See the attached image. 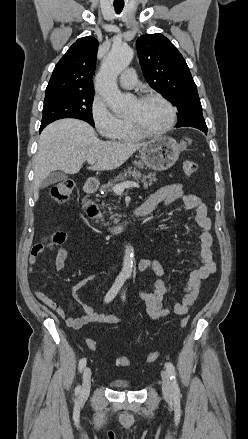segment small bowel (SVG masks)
Returning a JSON list of instances; mask_svg holds the SVG:
<instances>
[{"instance_id": "c3829d8e", "label": "small bowel", "mask_w": 248, "mask_h": 439, "mask_svg": "<svg viewBox=\"0 0 248 439\" xmlns=\"http://www.w3.org/2000/svg\"><path fill=\"white\" fill-rule=\"evenodd\" d=\"M178 199L183 201L187 209L194 210V223L200 229V257L202 265L190 273L182 298L175 302L173 306L164 307L162 302L169 294V290L163 280L160 279V277L164 275V270L159 260L156 258L143 259L138 263V270L140 272L148 271L155 276L151 284V291L137 292L138 298L145 302L147 314L151 319H160L172 313L177 315L186 314L199 296L202 281L214 274L217 270V264L211 250L213 244V238L210 232L211 220L207 216V206L198 196L189 193L183 184H169L152 193L142 204V207L148 214L159 204L168 207ZM43 251L44 245H37L32 249L29 257V272L31 274L33 273V267L36 264L38 256ZM67 257V247H61L56 254L54 262V267L57 272L63 270ZM103 275H105V271L98 270L81 279L71 287L70 295L72 299L79 304L84 311V314L80 317H66L63 306L54 301L40 288L35 287L34 293L40 301L54 310L57 315L64 319L66 324L73 329H79L91 323L107 325L118 324L121 320L120 317L112 313H98L93 307L85 303L80 295V292L93 280Z\"/></svg>"}]
</instances>
